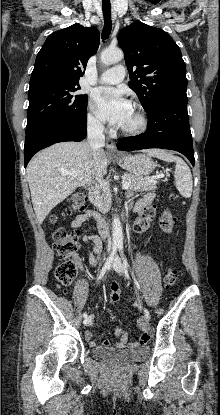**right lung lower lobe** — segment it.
Listing matches in <instances>:
<instances>
[{
	"label": "right lung lower lobe",
	"instance_id": "obj_1",
	"mask_svg": "<svg viewBox=\"0 0 220 415\" xmlns=\"http://www.w3.org/2000/svg\"><path fill=\"white\" fill-rule=\"evenodd\" d=\"M86 132V118L83 122L70 125L49 122L29 131L24 146L25 167L39 150L58 142L81 141L86 137Z\"/></svg>",
	"mask_w": 220,
	"mask_h": 415
}]
</instances>
